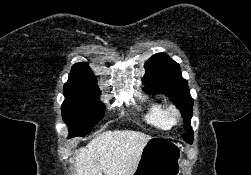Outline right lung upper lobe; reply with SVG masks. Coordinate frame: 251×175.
<instances>
[{"instance_id": "right-lung-upper-lobe-1", "label": "right lung upper lobe", "mask_w": 251, "mask_h": 175, "mask_svg": "<svg viewBox=\"0 0 251 175\" xmlns=\"http://www.w3.org/2000/svg\"><path fill=\"white\" fill-rule=\"evenodd\" d=\"M64 86L97 87V80L86 63H76L72 66L68 81Z\"/></svg>"}]
</instances>
